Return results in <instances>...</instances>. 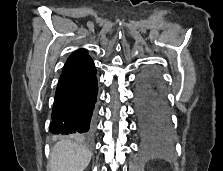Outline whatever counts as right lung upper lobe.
I'll use <instances>...</instances> for the list:
<instances>
[{"instance_id": "obj_1", "label": "right lung upper lobe", "mask_w": 223, "mask_h": 171, "mask_svg": "<svg viewBox=\"0 0 223 171\" xmlns=\"http://www.w3.org/2000/svg\"><path fill=\"white\" fill-rule=\"evenodd\" d=\"M88 59H90L88 51L86 49H78L69 56L63 70Z\"/></svg>"}]
</instances>
